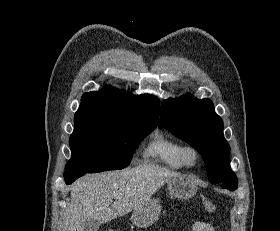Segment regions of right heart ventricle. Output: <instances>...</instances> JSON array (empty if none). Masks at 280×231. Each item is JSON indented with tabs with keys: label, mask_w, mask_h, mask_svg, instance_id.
<instances>
[{
	"label": "right heart ventricle",
	"mask_w": 280,
	"mask_h": 231,
	"mask_svg": "<svg viewBox=\"0 0 280 231\" xmlns=\"http://www.w3.org/2000/svg\"><path fill=\"white\" fill-rule=\"evenodd\" d=\"M183 142L162 130H155L145 142L140 158L142 163H157L172 170H181L179 153Z\"/></svg>",
	"instance_id": "1"
}]
</instances>
